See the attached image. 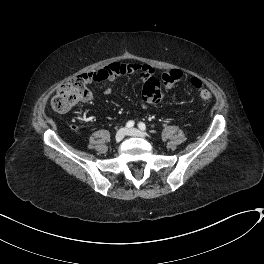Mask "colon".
Here are the masks:
<instances>
[{"instance_id": "obj_1", "label": "colon", "mask_w": 264, "mask_h": 264, "mask_svg": "<svg viewBox=\"0 0 264 264\" xmlns=\"http://www.w3.org/2000/svg\"><path fill=\"white\" fill-rule=\"evenodd\" d=\"M181 76L179 70L170 69L161 74L160 80L149 78L143 84V95L149 100L157 101L163 96L164 89L178 83ZM191 84L197 89L202 100L208 101L210 99L209 90L204 88L200 81L192 79ZM93 97V91L88 87L85 80L78 76L63 82L58 87L51 99V106L57 112H68L87 104Z\"/></svg>"}]
</instances>
